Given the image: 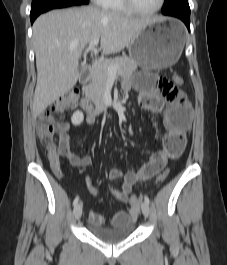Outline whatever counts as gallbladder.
Here are the masks:
<instances>
[{"label": "gallbladder", "instance_id": "obj_1", "mask_svg": "<svg viewBox=\"0 0 227 265\" xmlns=\"http://www.w3.org/2000/svg\"><path fill=\"white\" fill-rule=\"evenodd\" d=\"M82 68H83V67H82V66H80V70H82Z\"/></svg>", "mask_w": 227, "mask_h": 265}]
</instances>
